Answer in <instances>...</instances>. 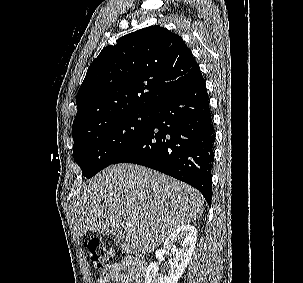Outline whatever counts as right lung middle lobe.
<instances>
[{"label":"right lung middle lobe","mask_w":303,"mask_h":283,"mask_svg":"<svg viewBox=\"0 0 303 283\" xmlns=\"http://www.w3.org/2000/svg\"><path fill=\"white\" fill-rule=\"evenodd\" d=\"M150 118L151 111H133L72 133L82 175L89 179L113 164L144 134Z\"/></svg>","instance_id":"obj_1"}]
</instances>
